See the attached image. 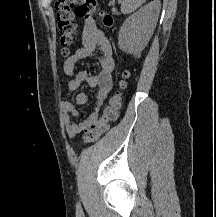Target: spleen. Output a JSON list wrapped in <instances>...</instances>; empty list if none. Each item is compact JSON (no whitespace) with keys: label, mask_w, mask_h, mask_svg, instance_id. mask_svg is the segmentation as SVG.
<instances>
[{"label":"spleen","mask_w":216,"mask_h":217,"mask_svg":"<svg viewBox=\"0 0 216 217\" xmlns=\"http://www.w3.org/2000/svg\"><path fill=\"white\" fill-rule=\"evenodd\" d=\"M146 0H122L121 12L123 14H130L139 8Z\"/></svg>","instance_id":"spleen-1"}]
</instances>
